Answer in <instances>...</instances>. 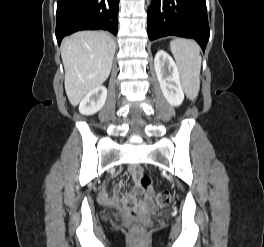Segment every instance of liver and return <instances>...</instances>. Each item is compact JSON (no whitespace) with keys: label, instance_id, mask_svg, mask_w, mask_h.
I'll list each match as a JSON object with an SVG mask.
<instances>
[{"label":"liver","instance_id":"liver-1","mask_svg":"<svg viewBox=\"0 0 264 247\" xmlns=\"http://www.w3.org/2000/svg\"><path fill=\"white\" fill-rule=\"evenodd\" d=\"M115 48L113 38L105 32L80 31L63 40L64 84L72 106L109 77Z\"/></svg>","mask_w":264,"mask_h":247}]
</instances>
